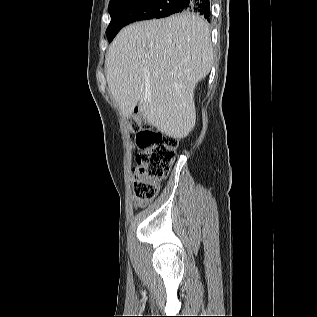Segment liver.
Returning <instances> with one entry per match:
<instances>
[{"label":"liver","mask_w":317,"mask_h":317,"mask_svg":"<svg viewBox=\"0 0 317 317\" xmlns=\"http://www.w3.org/2000/svg\"><path fill=\"white\" fill-rule=\"evenodd\" d=\"M213 64L208 23L195 14L124 27L106 56L107 83L125 117L135 107L149 124L176 139L196 121L194 90Z\"/></svg>","instance_id":"1"}]
</instances>
